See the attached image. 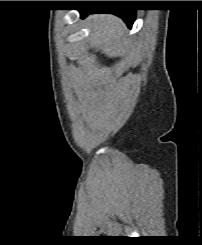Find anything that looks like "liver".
Listing matches in <instances>:
<instances>
[{"mask_svg":"<svg viewBox=\"0 0 202 245\" xmlns=\"http://www.w3.org/2000/svg\"><path fill=\"white\" fill-rule=\"evenodd\" d=\"M92 27L91 42L94 46H108L110 56L119 54L123 45L127 43L124 38L125 25L119 18L100 14L89 17Z\"/></svg>","mask_w":202,"mask_h":245,"instance_id":"6515ba94","label":"liver"}]
</instances>
